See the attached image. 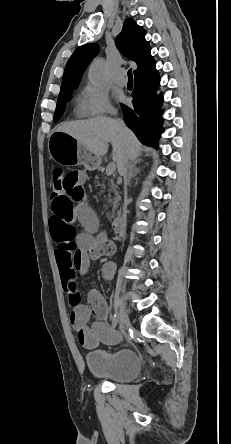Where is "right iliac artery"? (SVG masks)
Instances as JSON below:
<instances>
[{
	"mask_svg": "<svg viewBox=\"0 0 231 444\" xmlns=\"http://www.w3.org/2000/svg\"><path fill=\"white\" fill-rule=\"evenodd\" d=\"M118 325V316L117 314H114L112 319V326L115 328Z\"/></svg>",
	"mask_w": 231,
	"mask_h": 444,
	"instance_id": "right-iliac-artery-1",
	"label": "right iliac artery"
}]
</instances>
